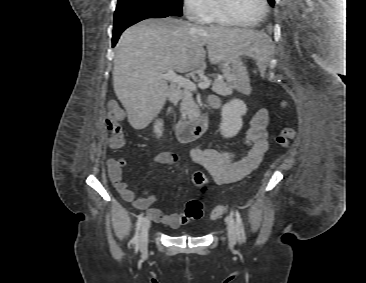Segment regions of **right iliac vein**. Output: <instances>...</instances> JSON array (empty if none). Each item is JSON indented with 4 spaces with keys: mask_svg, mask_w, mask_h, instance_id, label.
Instances as JSON below:
<instances>
[{
    "mask_svg": "<svg viewBox=\"0 0 366 283\" xmlns=\"http://www.w3.org/2000/svg\"><path fill=\"white\" fill-rule=\"evenodd\" d=\"M150 218L147 217L142 222L141 226V233H140V239H139V248L141 251H145L148 246V233L150 228Z\"/></svg>",
    "mask_w": 366,
    "mask_h": 283,
    "instance_id": "right-iliac-vein-1",
    "label": "right iliac vein"
}]
</instances>
